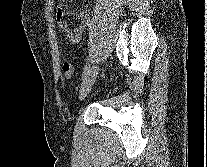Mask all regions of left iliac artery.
Instances as JSON below:
<instances>
[{
	"mask_svg": "<svg viewBox=\"0 0 207 167\" xmlns=\"http://www.w3.org/2000/svg\"><path fill=\"white\" fill-rule=\"evenodd\" d=\"M89 68H90V65L87 64L85 67H84V70H83V73H82V78H84L88 72H89Z\"/></svg>",
	"mask_w": 207,
	"mask_h": 167,
	"instance_id": "left-iliac-artery-1",
	"label": "left iliac artery"
}]
</instances>
